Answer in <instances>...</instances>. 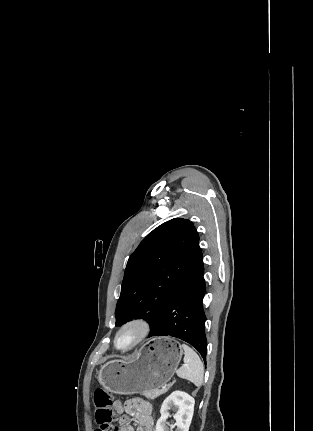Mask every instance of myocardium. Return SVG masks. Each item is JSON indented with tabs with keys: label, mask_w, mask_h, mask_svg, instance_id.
I'll return each instance as SVG.
<instances>
[{
	"label": "myocardium",
	"mask_w": 313,
	"mask_h": 431,
	"mask_svg": "<svg viewBox=\"0 0 313 431\" xmlns=\"http://www.w3.org/2000/svg\"><path fill=\"white\" fill-rule=\"evenodd\" d=\"M130 327H136L139 330V334L136 338V340L129 345L128 347L125 348H121L118 346L117 341H118V337L119 335L127 328ZM152 330V325L151 322L145 318V317H134L131 318L129 320H127L125 323H123L119 329L117 330L115 337H114V346L117 350L122 351V352H126V351H130L134 348H136L137 346H139L141 343H143L148 336L150 335Z\"/></svg>",
	"instance_id": "1"
}]
</instances>
